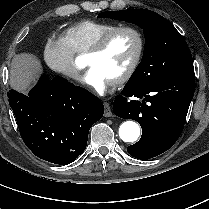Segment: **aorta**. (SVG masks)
I'll list each match as a JSON object with an SVG mask.
<instances>
[{"label":"aorta","mask_w":209,"mask_h":209,"mask_svg":"<svg viewBox=\"0 0 209 209\" xmlns=\"http://www.w3.org/2000/svg\"><path fill=\"white\" fill-rule=\"evenodd\" d=\"M119 136L124 142H135L140 136V126L135 121H125L119 128Z\"/></svg>","instance_id":"1"}]
</instances>
